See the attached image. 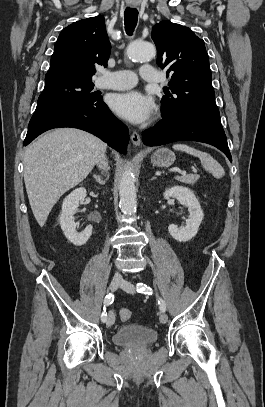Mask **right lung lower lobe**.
<instances>
[{
  "label": "right lung lower lobe",
  "instance_id": "98d812e1",
  "mask_svg": "<svg viewBox=\"0 0 265 407\" xmlns=\"http://www.w3.org/2000/svg\"><path fill=\"white\" fill-rule=\"evenodd\" d=\"M58 127H73L90 132L124 154L129 141L127 126L109 110L102 98L90 105L57 110L31 118L23 145L41 133Z\"/></svg>",
  "mask_w": 265,
  "mask_h": 407
}]
</instances>
